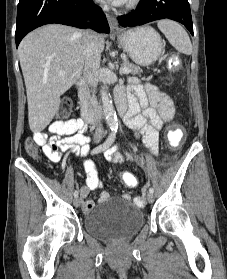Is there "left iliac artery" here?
<instances>
[{
    "label": "left iliac artery",
    "mask_w": 227,
    "mask_h": 279,
    "mask_svg": "<svg viewBox=\"0 0 227 279\" xmlns=\"http://www.w3.org/2000/svg\"><path fill=\"white\" fill-rule=\"evenodd\" d=\"M131 160H132V157L130 156V155H128V154H126ZM149 192L150 193H154V189L151 187V188H149Z\"/></svg>",
    "instance_id": "left-iliac-artery-1"
}]
</instances>
